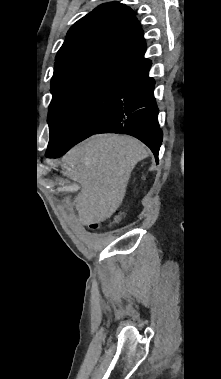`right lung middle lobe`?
<instances>
[{
  "label": "right lung middle lobe",
  "mask_w": 221,
  "mask_h": 379,
  "mask_svg": "<svg viewBox=\"0 0 221 379\" xmlns=\"http://www.w3.org/2000/svg\"><path fill=\"white\" fill-rule=\"evenodd\" d=\"M121 80L102 77L53 94L48 113L49 146L94 134L114 107Z\"/></svg>",
  "instance_id": "dd1d6c3e"
}]
</instances>
